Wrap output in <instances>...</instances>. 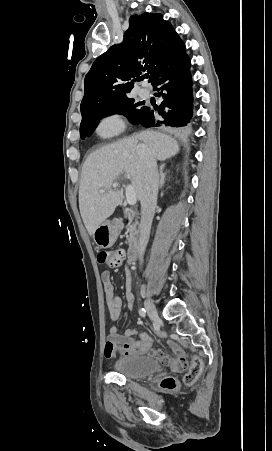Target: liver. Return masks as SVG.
Instances as JSON below:
<instances>
[{"instance_id":"obj_1","label":"liver","mask_w":272,"mask_h":451,"mask_svg":"<svg viewBox=\"0 0 272 451\" xmlns=\"http://www.w3.org/2000/svg\"><path fill=\"white\" fill-rule=\"evenodd\" d=\"M138 140L151 150L155 160H167L179 152V146L171 136L160 132H140L130 138L107 144L89 154L83 164L79 186V210L85 227L92 235L94 229L112 216L121 202L120 190L111 186L123 172L131 176V184L137 200H141L144 166L140 160ZM106 190L100 194L99 190Z\"/></svg>"}]
</instances>
